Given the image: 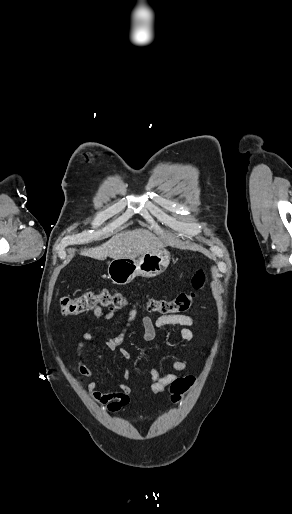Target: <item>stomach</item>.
<instances>
[{
	"label": "stomach",
	"mask_w": 292,
	"mask_h": 514,
	"mask_svg": "<svg viewBox=\"0 0 292 514\" xmlns=\"http://www.w3.org/2000/svg\"><path fill=\"white\" fill-rule=\"evenodd\" d=\"M170 264V254L163 248L142 254L138 260L135 258H118L112 260L108 266V278L113 284L125 286L130 284L136 276L142 278H155L162 274Z\"/></svg>",
	"instance_id": "stomach-1"
}]
</instances>
